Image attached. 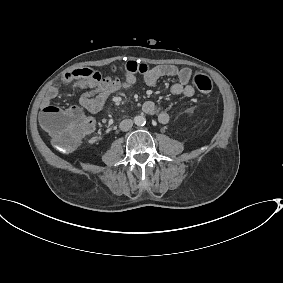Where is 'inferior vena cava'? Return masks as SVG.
<instances>
[{
	"label": "inferior vena cava",
	"mask_w": 283,
	"mask_h": 283,
	"mask_svg": "<svg viewBox=\"0 0 283 283\" xmlns=\"http://www.w3.org/2000/svg\"><path fill=\"white\" fill-rule=\"evenodd\" d=\"M133 126V121L130 119H125L120 123V130L128 131Z\"/></svg>",
	"instance_id": "1"
}]
</instances>
